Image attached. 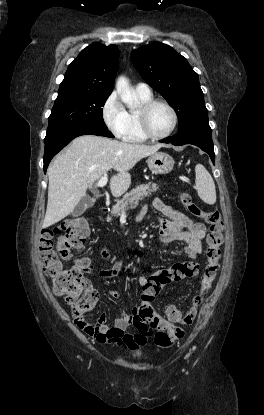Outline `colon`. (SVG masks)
<instances>
[{"label": "colon", "instance_id": "obj_1", "mask_svg": "<svg viewBox=\"0 0 264 415\" xmlns=\"http://www.w3.org/2000/svg\"><path fill=\"white\" fill-rule=\"evenodd\" d=\"M180 201L187 211L196 218L204 219L208 226L206 238V264L203 270L200 288L194 296L191 306L185 313L174 306H169L163 317L159 316L152 305L155 293L163 286L193 276L197 266L192 262L176 263L159 271L150 279L142 294L133 324L138 333L137 341L147 334H153L158 346L169 347L181 340L190 327L205 294L211 287L220 267L223 245V221L218 210H202L191 198L182 192ZM90 235V226L86 219L75 218L61 229H45L42 232L39 251L43 271L52 281V291L56 296H64L65 303L71 308L76 324L83 329L92 330L93 325L87 320V314L98 300V292L85 276L84 263L76 261L67 265L72 252L82 248Z\"/></svg>", "mask_w": 264, "mask_h": 415}]
</instances>
